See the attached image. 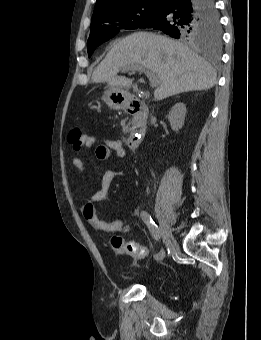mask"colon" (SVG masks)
Returning a JSON list of instances; mask_svg holds the SVG:
<instances>
[{
    "label": "colon",
    "mask_w": 261,
    "mask_h": 340,
    "mask_svg": "<svg viewBox=\"0 0 261 340\" xmlns=\"http://www.w3.org/2000/svg\"><path fill=\"white\" fill-rule=\"evenodd\" d=\"M86 136L82 127H74L68 135V141L75 149H80ZM110 245L117 254L127 255L135 259H143L147 255V250L144 246L134 241H126L120 236H113Z\"/></svg>",
    "instance_id": "colon-1"
}]
</instances>
